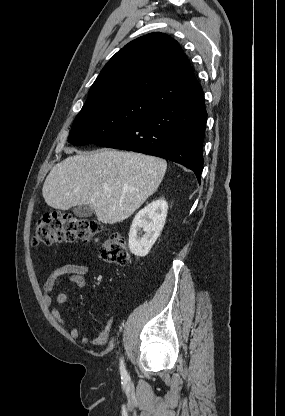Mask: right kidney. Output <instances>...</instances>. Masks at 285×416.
<instances>
[{
    "mask_svg": "<svg viewBox=\"0 0 285 416\" xmlns=\"http://www.w3.org/2000/svg\"><path fill=\"white\" fill-rule=\"evenodd\" d=\"M168 204L166 200H155L136 214L129 232V250L134 256H147L155 244L166 220ZM143 228V238L137 234Z\"/></svg>",
    "mask_w": 285,
    "mask_h": 416,
    "instance_id": "ca27d5eb",
    "label": "right kidney"
}]
</instances>
